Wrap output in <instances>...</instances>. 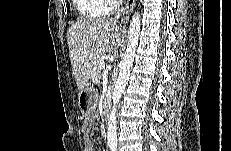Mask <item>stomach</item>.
Segmentation results:
<instances>
[{
	"label": "stomach",
	"instance_id": "1",
	"mask_svg": "<svg viewBox=\"0 0 231 151\" xmlns=\"http://www.w3.org/2000/svg\"><path fill=\"white\" fill-rule=\"evenodd\" d=\"M98 92L94 85L87 83L78 94V105L80 111L85 114H91L97 105Z\"/></svg>",
	"mask_w": 231,
	"mask_h": 151
}]
</instances>
